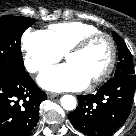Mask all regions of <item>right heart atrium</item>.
<instances>
[{"instance_id":"obj_1","label":"right heart atrium","mask_w":136,"mask_h":136,"mask_svg":"<svg viewBox=\"0 0 136 136\" xmlns=\"http://www.w3.org/2000/svg\"><path fill=\"white\" fill-rule=\"evenodd\" d=\"M21 47L24 66L31 73L45 70L62 56L47 34L41 30L25 31L22 35Z\"/></svg>"}]
</instances>
